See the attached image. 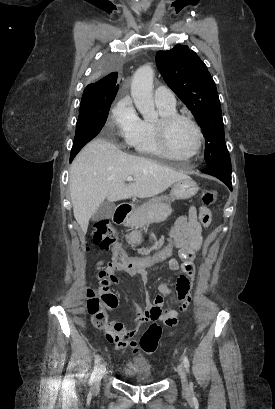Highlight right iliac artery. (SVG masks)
Wrapping results in <instances>:
<instances>
[{
  "label": "right iliac artery",
  "mask_w": 275,
  "mask_h": 409,
  "mask_svg": "<svg viewBox=\"0 0 275 409\" xmlns=\"http://www.w3.org/2000/svg\"><path fill=\"white\" fill-rule=\"evenodd\" d=\"M100 360H101L100 356L97 355L96 358H95V361H94V364H95L94 371H93V373L91 375V378L89 380V383H91V384L94 382L95 374H96V371H97L98 366L100 364Z\"/></svg>",
  "instance_id": "1"
}]
</instances>
